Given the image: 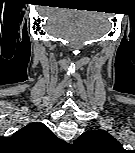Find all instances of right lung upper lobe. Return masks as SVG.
<instances>
[{
    "label": "right lung upper lobe",
    "mask_w": 135,
    "mask_h": 153,
    "mask_svg": "<svg viewBox=\"0 0 135 153\" xmlns=\"http://www.w3.org/2000/svg\"><path fill=\"white\" fill-rule=\"evenodd\" d=\"M13 136L35 147H46L61 141L44 124L35 122L18 130Z\"/></svg>",
    "instance_id": "obj_1"
}]
</instances>
